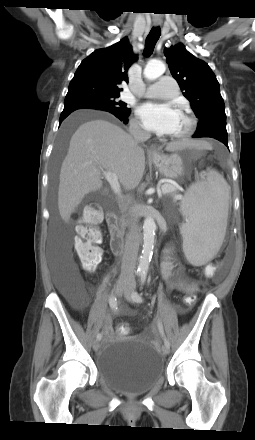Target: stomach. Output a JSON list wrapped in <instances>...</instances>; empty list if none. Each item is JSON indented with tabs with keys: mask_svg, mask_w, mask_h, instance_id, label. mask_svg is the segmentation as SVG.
I'll return each mask as SVG.
<instances>
[{
	"mask_svg": "<svg viewBox=\"0 0 255 440\" xmlns=\"http://www.w3.org/2000/svg\"><path fill=\"white\" fill-rule=\"evenodd\" d=\"M151 161L166 178L177 179L184 172L183 160L178 154H159L152 156Z\"/></svg>",
	"mask_w": 255,
	"mask_h": 440,
	"instance_id": "0dacf381",
	"label": "stomach"
}]
</instances>
